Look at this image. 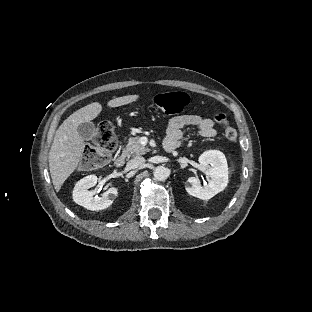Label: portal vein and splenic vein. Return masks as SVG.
<instances>
[{"label":"portal vein and splenic vein","mask_w":312,"mask_h":312,"mask_svg":"<svg viewBox=\"0 0 312 312\" xmlns=\"http://www.w3.org/2000/svg\"><path fill=\"white\" fill-rule=\"evenodd\" d=\"M144 139H145L144 137L141 138V140H144ZM142 144H146V143H142Z\"/></svg>","instance_id":"1"}]
</instances>
